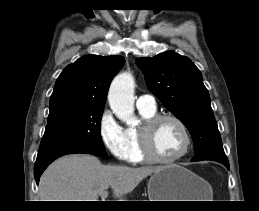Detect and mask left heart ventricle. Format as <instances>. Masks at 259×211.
Listing matches in <instances>:
<instances>
[{
    "mask_svg": "<svg viewBox=\"0 0 259 211\" xmlns=\"http://www.w3.org/2000/svg\"><path fill=\"white\" fill-rule=\"evenodd\" d=\"M151 143L157 156L171 158L181 152L185 144V138L175 122L164 120L153 129Z\"/></svg>",
    "mask_w": 259,
    "mask_h": 211,
    "instance_id": "1",
    "label": "left heart ventricle"
}]
</instances>
